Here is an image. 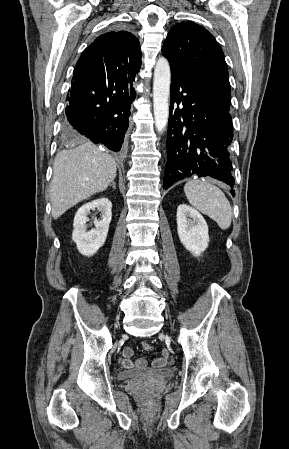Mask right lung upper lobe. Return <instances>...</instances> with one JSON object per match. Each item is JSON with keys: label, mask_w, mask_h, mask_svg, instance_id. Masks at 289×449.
<instances>
[{"label": "right lung upper lobe", "mask_w": 289, "mask_h": 449, "mask_svg": "<svg viewBox=\"0 0 289 449\" xmlns=\"http://www.w3.org/2000/svg\"><path fill=\"white\" fill-rule=\"evenodd\" d=\"M141 56L140 43L131 33H105L81 54L73 78L103 82L133 78L140 70Z\"/></svg>", "instance_id": "obj_1"}]
</instances>
